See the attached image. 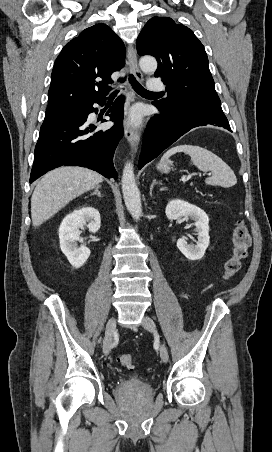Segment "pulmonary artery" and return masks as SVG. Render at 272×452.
<instances>
[{"label":"pulmonary artery","mask_w":272,"mask_h":452,"mask_svg":"<svg viewBox=\"0 0 272 452\" xmlns=\"http://www.w3.org/2000/svg\"><path fill=\"white\" fill-rule=\"evenodd\" d=\"M148 89L152 92H161L165 89V84L158 78H152L148 83Z\"/></svg>","instance_id":"e3ab8cb5"}]
</instances>
